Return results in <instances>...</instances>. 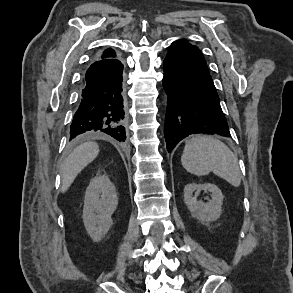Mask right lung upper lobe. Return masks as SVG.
I'll use <instances>...</instances> for the list:
<instances>
[{
    "mask_svg": "<svg viewBox=\"0 0 293 293\" xmlns=\"http://www.w3.org/2000/svg\"><path fill=\"white\" fill-rule=\"evenodd\" d=\"M114 59H117V56H116L115 51L111 48L106 49L102 54H100L96 57V60H98V61L114 60Z\"/></svg>",
    "mask_w": 293,
    "mask_h": 293,
    "instance_id": "obj_1",
    "label": "right lung upper lobe"
}]
</instances>
